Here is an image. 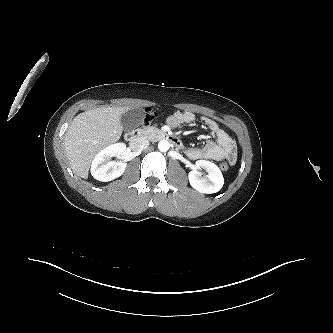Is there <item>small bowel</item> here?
I'll return each mask as SVG.
<instances>
[{
    "instance_id": "1",
    "label": "small bowel",
    "mask_w": 333,
    "mask_h": 333,
    "mask_svg": "<svg viewBox=\"0 0 333 333\" xmlns=\"http://www.w3.org/2000/svg\"><path fill=\"white\" fill-rule=\"evenodd\" d=\"M202 122L207 126L216 140H208L202 147H190L186 150V155L192 160H216L226 158L230 164H234L237 159V147L235 141L212 118L202 117ZM195 121V115L190 111H177L167 118L170 127H177Z\"/></svg>"
}]
</instances>
